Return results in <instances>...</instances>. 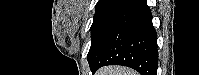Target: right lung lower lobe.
I'll return each mask as SVG.
<instances>
[{
  "label": "right lung lower lobe",
  "instance_id": "98d812e1",
  "mask_svg": "<svg viewBox=\"0 0 199 75\" xmlns=\"http://www.w3.org/2000/svg\"><path fill=\"white\" fill-rule=\"evenodd\" d=\"M89 65L93 73L105 65H123L141 75L157 74V34L146 0H128L107 28Z\"/></svg>",
  "mask_w": 199,
  "mask_h": 75
}]
</instances>
